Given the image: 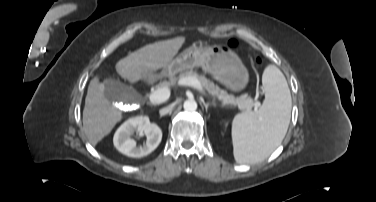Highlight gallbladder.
<instances>
[{"mask_svg":"<svg viewBox=\"0 0 376 202\" xmlns=\"http://www.w3.org/2000/svg\"><path fill=\"white\" fill-rule=\"evenodd\" d=\"M104 84V97L111 102L132 103L137 99V92L131 86H128L116 79H106Z\"/></svg>","mask_w":376,"mask_h":202,"instance_id":"bac80fb5","label":"gallbladder"}]
</instances>
